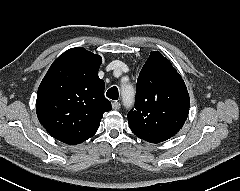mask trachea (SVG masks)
I'll list each match as a JSON object with an SVG mask.
<instances>
[{"label":"trachea","mask_w":240,"mask_h":191,"mask_svg":"<svg viewBox=\"0 0 240 191\" xmlns=\"http://www.w3.org/2000/svg\"><path fill=\"white\" fill-rule=\"evenodd\" d=\"M106 96L109 98V99H112V100H117L118 97H119V92H118V89L117 87H111L107 92H106Z\"/></svg>","instance_id":"trachea-1"}]
</instances>
